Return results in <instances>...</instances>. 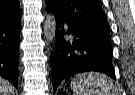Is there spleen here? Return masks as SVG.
I'll return each mask as SVG.
<instances>
[{
	"label": "spleen",
	"instance_id": "1",
	"mask_svg": "<svg viewBox=\"0 0 135 95\" xmlns=\"http://www.w3.org/2000/svg\"><path fill=\"white\" fill-rule=\"evenodd\" d=\"M74 95H116L110 78L100 73H82L71 81Z\"/></svg>",
	"mask_w": 135,
	"mask_h": 95
}]
</instances>
